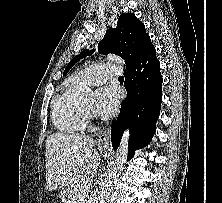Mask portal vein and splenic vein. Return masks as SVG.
<instances>
[{
    "mask_svg": "<svg viewBox=\"0 0 222 203\" xmlns=\"http://www.w3.org/2000/svg\"><path fill=\"white\" fill-rule=\"evenodd\" d=\"M90 185H91V181H86V182H85V185H84V188H85L86 190H88L89 187H90ZM84 194H85V192H84Z\"/></svg>",
    "mask_w": 222,
    "mask_h": 203,
    "instance_id": "18ae733b",
    "label": "portal vein and splenic vein"
}]
</instances>
